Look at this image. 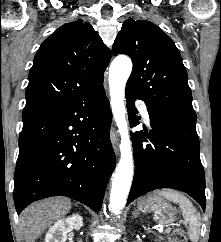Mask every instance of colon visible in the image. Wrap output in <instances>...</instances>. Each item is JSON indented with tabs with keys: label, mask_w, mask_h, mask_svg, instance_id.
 Instances as JSON below:
<instances>
[{
	"label": "colon",
	"mask_w": 221,
	"mask_h": 242,
	"mask_svg": "<svg viewBox=\"0 0 221 242\" xmlns=\"http://www.w3.org/2000/svg\"><path fill=\"white\" fill-rule=\"evenodd\" d=\"M169 242H188L186 231L182 228H176L172 231Z\"/></svg>",
	"instance_id": "1"
}]
</instances>
